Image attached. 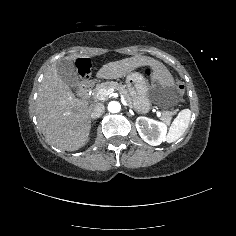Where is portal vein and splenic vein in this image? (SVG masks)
Here are the masks:
<instances>
[{"label": "portal vein and splenic vein", "mask_w": 236, "mask_h": 236, "mask_svg": "<svg viewBox=\"0 0 236 236\" xmlns=\"http://www.w3.org/2000/svg\"><path fill=\"white\" fill-rule=\"evenodd\" d=\"M112 92H113V89H112V88H111V89H108V90H106V89H101V90H99V92H98V96H99V98H100L101 100H103V99H106ZM122 104H123L124 106H126V107L129 106V104L127 103V101H126L124 98H122ZM156 115H157V116H160V115H161V111H160V110H157V111H156Z\"/></svg>", "instance_id": "obj_1"}]
</instances>
